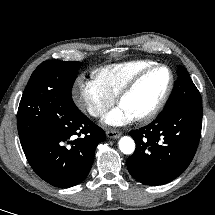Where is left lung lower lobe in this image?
Listing matches in <instances>:
<instances>
[{
    "mask_svg": "<svg viewBox=\"0 0 215 215\" xmlns=\"http://www.w3.org/2000/svg\"><path fill=\"white\" fill-rule=\"evenodd\" d=\"M202 128V110L164 109L148 126L129 134L136 150L127 159L130 174L145 185H162L177 178L192 161Z\"/></svg>",
    "mask_w": 215,
    "mask_h": 215,
    "instance_id": "obj_1",
    "label": "left lung lower lobe"
}]
</instances>
